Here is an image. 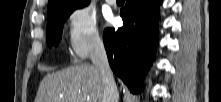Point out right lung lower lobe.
Instances as JSON below:
<instances>
[{
	"instance_id": "right-lung-lower-lobe-1",
	"label": "right lung lower lobe",
	"mask_w": 221,
	"mask_h": 102,
	"mask_svg": "<svg viewBox=\"0 0 221 102\" xmlns=\"http://www.w3.org/2000/svg\"><path fill=\"white\" fill-rule=\"evenodd\" d=\"M160 3V0H127L121 10L123 27L104 31L109 64L133 93L142 90L134 76L143 75L154 59L158 43L155 21Z\"/></svg>"
}]
</instances>
